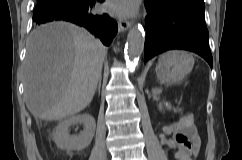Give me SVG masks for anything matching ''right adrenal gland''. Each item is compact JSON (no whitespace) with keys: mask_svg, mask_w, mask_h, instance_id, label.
I'll use <instances>...</instances> for the list:
<instances>
[{"mask_svg":"<svg viewBox=\"0 0 242 160\" xmlns=\"http://www.w3.org/2000/svg\"><path fill=\"white\" fill-rule=\"evenodd\" d=\"M101 78L99 79V83H98V92H99V94H100V89H101Z\"/></svg>","mask_w":242,"mask_h":160,"instance_id":"1","label":"right adrenal gland"}]
</instances>
